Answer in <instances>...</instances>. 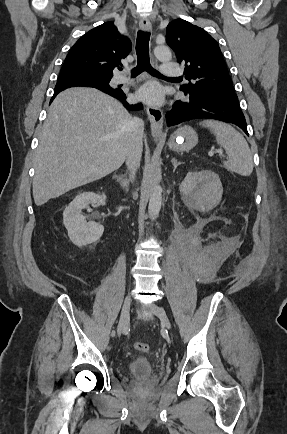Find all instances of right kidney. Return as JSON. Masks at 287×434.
<instances>
[{
    "instance_id": "right-kidney-1",
    "label": "right kidney",
    "mask_w": 287,
    "mask_h": 434,
    "mask_svg": "<svg viewBox=\"0 0 287 434\" xmlns=\"http://www.w3.org/2000/svg\"><path fill=\"white\" fill-rule=\"evenodd\" d=\"M106 195L94 192H83L77 195L63 212V223L68 236L76 246H86L100 239L104 232L103 225L96 222H86L81 214L82 209L89 205L105 204Z\"/></svg>"
}]
</instances>
